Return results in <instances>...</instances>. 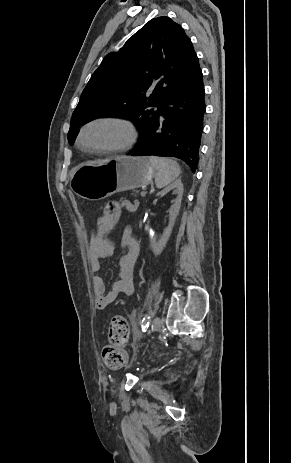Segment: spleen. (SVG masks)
I'll return each instance as SVG.
<instances>
[{
    "mask_svg": "<svg viewBox=\"0 0 291 463\" xmlns=\"http://www.w3.org/2000/svg\"><path fill=\"white\" fill-rule=\"evenodd\" d=\"M151 165L157 170L155 183L157 188H163L176 180L180 173L178 163L169 158L149 157Z\"/></svg>",
    "mask_w": 291,
    "mask_h": 463,
    "instance_id": "spleen-1",
    "label": "spleen"
}]
</instances>
